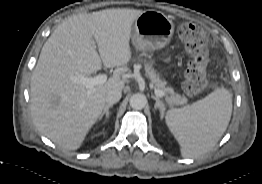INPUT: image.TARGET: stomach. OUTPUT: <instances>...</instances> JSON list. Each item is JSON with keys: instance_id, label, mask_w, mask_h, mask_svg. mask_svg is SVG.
I'll use <instances>...</instances> for the list:
<instances>
[{"instance_id": "0dacf381", "label": "stomach", "mask_w": 262, "mask_h": 184, "mask_svg": "<svg viewBox=\"0 0 262 184\" xmlns=\"http://www.w3.org/2000/svg\"><path fill=\"white\" fill-rule=\"evenodd\" d=\"M132 43L139 51L164 48L174 33V23L160 11L147 10L134 21Z\"/></svg>"}]
</instances>
